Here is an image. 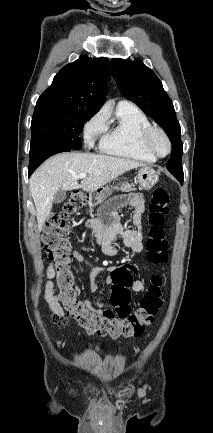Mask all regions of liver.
I'll use <instances>...</instances> for the list:
<instances>
[{
    "instance_id": "6515ba94",
    "label": "liver",
    "mask_w": 213,
    "mask_h": 433,
    "mask_svg": "<svg viewBox=\"0 0 213 433\" xmlns=\"http://www.w3.org/2000/svg\"><path fill=\"white\" fill-rule=\"evenodd\" d=\"M143 166L130 159L91 153H61L46 160L31 176L30 191L39 231L52 210L59 189L93 192L123 173ZM80 173L88 176L78 183Z\"/></svg>"
}]
</instances>
